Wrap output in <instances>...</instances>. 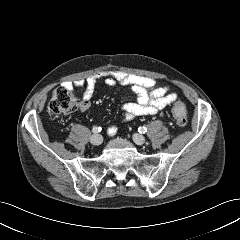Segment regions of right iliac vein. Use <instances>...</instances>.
Here are the masks:
<instances>
[{"mask_svg": "<svg viewBox=\"0 0 240 240\" xmlns=\"http://www.w3.org/2000/svg\"><path fill=\"white\" fill-rule=\"evenodd\" d=\"M91 144L98 146L103 142V137L100 134L92 135L90 138Z\"/></svg>", "mask_w": 240, "mask_h": 240, "instance_id": "1", "label": "right iliac vein"}]
</instances>
